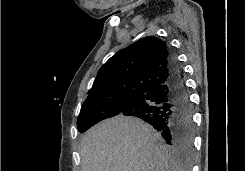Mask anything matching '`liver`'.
<instances>
[{"label":"liver","instance_id":"obj_1","mask_svg":"<svg viewBox=\"0 0 245 171\" xmlns=\"http://www.w3.org/2000/svg\"><path fill=\"white\" fill-rule=\"evenodd\" d=\"M160 140L140 119L104 120L83 136L82 171H182Z\"/></svg>","mask_w":245,"mask_h":171}]
</instances>
